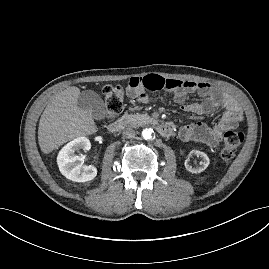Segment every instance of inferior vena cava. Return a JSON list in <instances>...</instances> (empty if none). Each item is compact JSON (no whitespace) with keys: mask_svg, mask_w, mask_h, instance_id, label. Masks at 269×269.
Masks as SVG:
<instances>
[{"mask_svg":"<svg viewBox=\"0 0 269 269\" xmlns=\"http://www.w3.org/2000/svg\"><path fill=\"white\" fill-rule=\"evenodd\" d=\"M122 135L124 138L126 139H131L135 137V130L131 127H126L123 132Z\"/></svg>","mask_w":269,"mask_h":269,"instance_id":"obj_1","label":"inferior vena cava"}]
</instances>
